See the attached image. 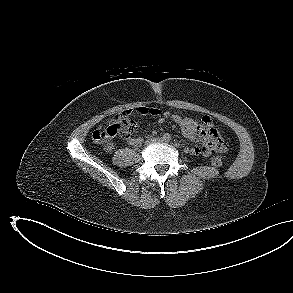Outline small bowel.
<instances>
[{
  "instance_id": "1",
  "label": "small bowel",
  "mask_w": 293,
  "mask_h": 293,
  "mask_svg": "<svg viewBox=\"0 0 293 293\" xmlns=\"http://www.w3.org/2000/svg\"><path fill=\"white\" fill-rule=\"evenodd\" d=\"M131 112L133 111H128V113ZM134 112L141 115L158 117V121L161 123L165 120H171L178 124L185 138L191 141L201 142V145L190 149L192 155L210 156L213 152L222 154L227 149L220 130L208 116H204L199 122L191 117H182L169 111L162 112L157 108H148L145 106L137 108ZM142 141V137L137 135L128 138L130 145H138Z\"/></svg>"
}]
</instances>
